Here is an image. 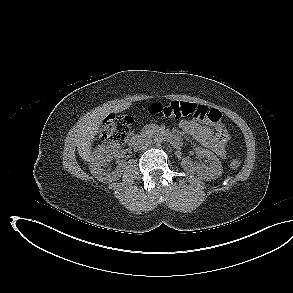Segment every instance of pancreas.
Returning <instances> with one entry per match:
<instances>
[{
    "mask_svg": "<svg viewBox=\"0 0 293 293\" xmlns=\"http://www.w3.org/2000/svg\"><path fill=\"white\" fill-rule=\"evenodd\" d=\"M147 131H152V132H156L158 130V127L155 125H148L145 128Z\"/></svg>",
    "mask_w": 293,
    "mask_h": 293,
    "instance_id": "cf45deb5",
    "label": "pancreas"
}]
</instances>
